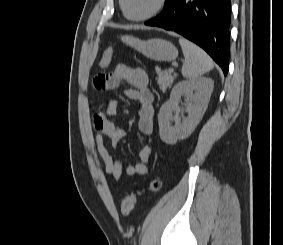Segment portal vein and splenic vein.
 Returning <instances> with one entry per match:
<instances>
[{
  "label": "portal vein and splenic vein",
  "instance_id": "18ae733b",
  "mask_svg": "<svg viewBox=\"0 0 283 245\" xmlns=\"http://www.w3.org/2000/svg\"><path fill=\"white\" fill-rule=\"evenodd\" d=\"M174 71V69L173 68H169V72H173Z\"/></svg>",
  "mask_w": 283,
  "mask_h": 245
}]
</instances>
